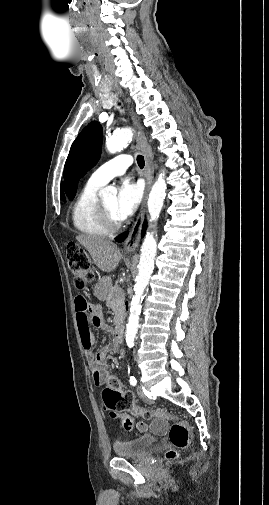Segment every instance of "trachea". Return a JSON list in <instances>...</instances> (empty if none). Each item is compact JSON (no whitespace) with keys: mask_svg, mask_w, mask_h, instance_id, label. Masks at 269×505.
I'll list each match as a JSON object with an SVG mask.
<instances>
[{"mask_svg":"<svg viewBox=\"0 0 269 505\" xmlns=\"http://www.w3.org/2000/svg\"><path fill=\"white\" fill-rule=\"evenodd\" d=\"M137 163L140 168L144 167L145 162H144V157L142 155L137 156Z\"/></svg>","mask_w":269,"mask_h":505,"instance_id":"3493384b","label":"trachea"}]
</instances>
